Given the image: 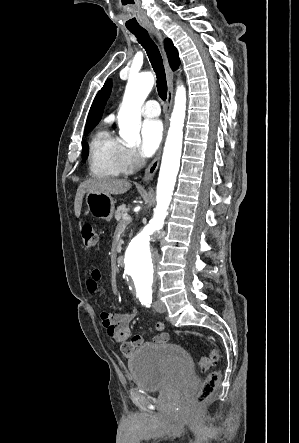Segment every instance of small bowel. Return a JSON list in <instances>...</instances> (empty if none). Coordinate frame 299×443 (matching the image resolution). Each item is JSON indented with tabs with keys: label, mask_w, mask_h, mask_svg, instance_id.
I'll list each match as a JSON object with an SVG mask.
<instances>
[{
	"label": "small bowel",
	"mask_w": 299,
	"mask_h": 443,
	"mask_svg": "<svg viewBox=\"0 0 299 443\" xmlns=\"http://www.w3.org/2000/svg\"><path fill=\"white\" fill-rule=\"evenodd\" d=\"M100 281L101 271L99 269L91 270L85 284L88 293L95 294L99 289ZM99 316L107 336L114 342L123 343L122 352L124 354H130L136 348L145 344L142 336L132 335L130 322L135 317L134 310L114 313L102 311ZM155 329L160 333L155 335L149 343L163 344L168 342L170 334L166 330L165 325L157 323Z\"/></svg>",
	"instance_id": "obj_1"
}]
</instances>
